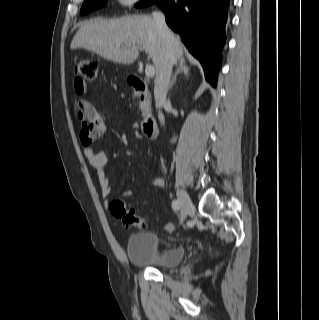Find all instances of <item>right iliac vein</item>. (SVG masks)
<instances>
[{
	"label": "right iliac vein",
	"instance_id": "obj_1",
	"mask_svg": "<svg viewBox=\"0 0 319 320\" xmlns=\"http://www.w3.org/2000/svg\"><path fill=\"white\" fill-rule=\"evenodd\" d=\"M177 198L181 206L182 219L181 222L184 221L186 216L193 211V203L189 197V195L182 189L177 190Z\"/></svg>",
	"mask_w": 319,
	"mask_h": 320
}]
</instances>
